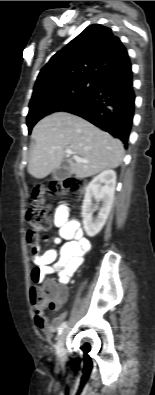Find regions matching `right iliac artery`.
I'll return each mask as SVG.
<instances>
[{"label":"right iliac artery","instance_id":"obj_1","mask_svg":"<svg viewBox=\"0 0 155 395\" xmlns=\"http://www.w3.org/2000/svg\"><path fill=\"white\" fill-rule=\"evenodd\" d=\"M66 325H67V322L61 323V325L58 327V330H57L58 335H60L63 332V330L65 329Z\"/></svg>","mask_w":155,"mask_h":395}]
</instances>
